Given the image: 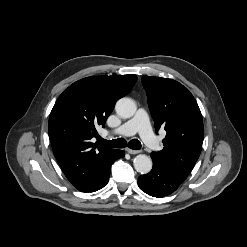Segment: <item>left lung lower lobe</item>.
Returning <instances> with one entry per match:
<instances>
[{
	"label": "left lung lower lobe",
	"instance_id": "left-lung-lower-lobe-1",
	"mask_svg": "<svg viewBox=\"0 0 247 247\" xmlns=\"http://www.w3.org/2000/svg\"><path fill=\"white\" fill-rule=\"evenodd\" d=\"M153 160V169L138 178V185L142 191L150 196L162 198L175 191L187 178L172 167Z\"/></svg>",
	"mask_w": 247,
	"mask_h": 247
}]
</instances>
